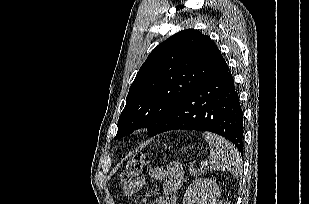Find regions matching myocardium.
I'll return each instance as SVG.
<instances>
[{"label": "myocardium", "instance_id": "obj_1", "mask_svg": "<svg viewBox=\"0 0 309 204\" xmlns=\"http://www.w3.org/2000/svg\"><path fill=\"white\" fill-rule=\"evenodd\" d=\"M140 131V129H136L135 131H134V133H138Z\"/></svg>", "mask_w": 309, "mask_h": 204}]
</instances>
